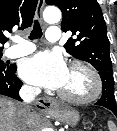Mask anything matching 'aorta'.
Segmentation results:
<instances>
[{
	"label": "aorta",
	"mask_w": 117,
	"mask_h": 131,
	"mask_svg": "<svg viewBox=\"0 0 117 131\" xmlns=\"http://www.w3.org/2000/svg\"><path fill=\"white\" fill-rule=\"evenodd\" d=\"M43 18L48 23H57L61 19V11L57 7H47L43 12Z\"/></svg>",
	"instance_id": "aorta-1"
}]
</instances>
